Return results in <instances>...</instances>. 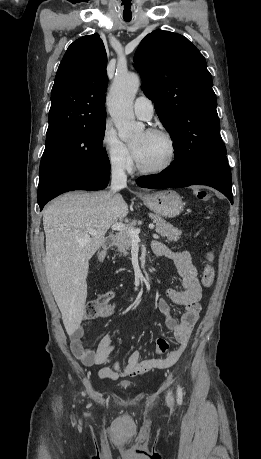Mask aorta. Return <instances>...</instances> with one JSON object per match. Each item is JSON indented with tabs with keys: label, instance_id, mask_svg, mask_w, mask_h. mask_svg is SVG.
<instances>
[{
	"label": "aorta",
	"instance_id": "obj_1",
	"mask_svg": "<svg viewBox=\"0 0 261 459\" xmlns=\"http://www.w3.org/2000/svg\"><path fill=\"white\" fill-rule=\"evenodd\" d=\"M139 86L140 80L136 74H117L107 96L110 116L119 137L125 142L138 137L144 130V125L135 120L133 113V102Z\"/></svg>",
	"mask_w": 261,
	"mask_h": 459
}]
</instances>
